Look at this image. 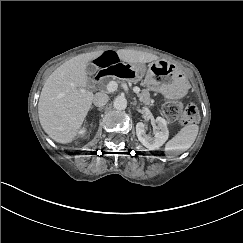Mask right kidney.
<instances>
[{"mask_svg": "<svg viewBox=\"0 0 243 243\" xmlns=\"http://www.w3.org/2000/svg\"><path fill=\"white\" fill-rule=\"evenodd\" d=\"M80 133H81V134L84 133V130H81Z\"/></svg>", "mask_w": 243, "mask_h": 243, "instance_id": "1", "label": "right kidney"}]
</instances>
